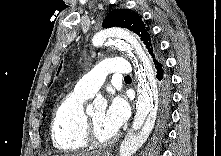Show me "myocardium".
<instances>
[{
  "label": "myocardium",
  "instance_id": "myocardium-1",
  "mask_svg": "<svg viewBox=\"0 0 221 156\" xmlns=\"http://www.w3.org/2000/svg\"><path fill=\"white\" fill-rule=\"evenodd\" d=\"M83 135L84 139L88 144L100 147L109 146L112 143H114L117 139L116 134H114L112 137L108 139L99 138L98 135L96 134L93 121L90 118V116L87 114H85L84 117Z\"/></svg>",
  "mask_w": 221,
  "mask_h": 156
}]
</instances>
